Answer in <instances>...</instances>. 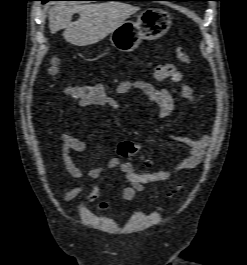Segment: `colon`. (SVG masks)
Instances as JSON below:
<instances>
[{"label":"colon","instance_id":"colon-1","mask_svg":"<svg viewBox=\"0 0 247 265\" xmlns=\"http://www.w3.org/2000/svg\"><path fill=\"white\" fill-rule=\"evenodd\" d=\"M175 56L182 64H188L191 61L187 50L183 47H178L175 50ZM58 64V60H54L49 69V73L53 77L58 74ZM64 93L84 106H106L111 98L110 88L105 83L69 86L64 89ZM141 149L139 144L126 140L119 143L117 154L120 157H133L138 155ZM144 162L148 166L152 164V160L149 158H144Z\"/></svg>","mask_w":247,"mask_h":265}]
</instances>
